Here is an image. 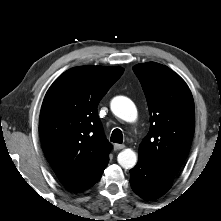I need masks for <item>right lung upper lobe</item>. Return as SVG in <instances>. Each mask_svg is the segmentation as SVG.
<instances>
[{"instance_id": "obj_1", "label": "right lung upper lobe", "mask_w": 221, "mask_h": 221, "mask_svg": "<svg viewBox=\"0 0 221 221\" xmlns=\"http://www.w3.org/2000/svg\"><path fill=\"white\" fill-rule=\"evenodd\" d=\"M123 72L120 67H75L58 77L45 95L39 121L43 152L70 190L91 187L108 164L112 145L97 107Z\"/></svg>"}]
</instances>
